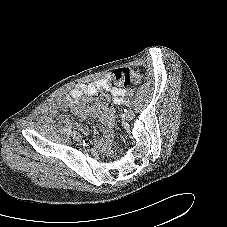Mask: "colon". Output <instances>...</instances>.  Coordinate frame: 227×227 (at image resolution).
<instances>
[{"mask_svg": "<svg viewBox=\"0 0 227 227\" xmlns=\"http://www.w3.org/2000/svg\"><path fill=\"white\" fill-rule=\"evenodd\" d=\"M141 81V75L138 71L128 68H120L113 72L111 77V83L121 89L122 87L129 86L131 84H138ZM97 108L100 112L105 113L111 107V101L109 96L101 94L96 101Z\"/></svg>", "mask_w": 227, "mask_h": 227, "instance_id": "colon-1", "label": "colon"}]
</instances>
